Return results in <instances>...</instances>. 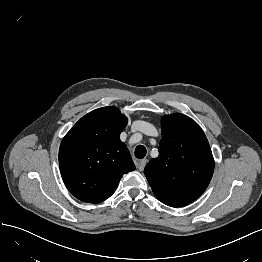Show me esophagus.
Masks as SVG:
<instances>
[{
    "label": "esophagus",
    "mask_w": 262,
    "mask_h": 262,
    "mask_svg": "<svg viewBox=\"0 0 262 262\" xmlns=\"http://www.w3.org/2000/svg\"><path fill=\"white\" fill-rule=\"evenodd\" d=\"M147 163V160H140L138 163H137V168L139 171H143L145 165Z\"/></svg>",
    "instance_id": "34e87169"
}]
</instances>
